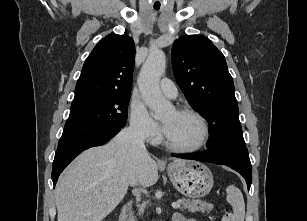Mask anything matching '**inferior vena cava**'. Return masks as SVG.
I'll list each match as a JSON object with an SVG mask.
<instances>
[{
  "mask_svg": "<svg viewBox=\"0 0 307 221\" xmlns=\"http://www.w3.org/2000/svg\"><path fill=\"white\" fill-rule=\"evenodd\" d=\"M144 139L145 136L143 131L137 126L125 128L115 137L117 142L129 145L134 150H138L140 152H146ZM129 221H135L132 211L129 214Z\"/></svg>",
  "mask_w": 307,
  "mask_h": 221,
  "instance_id": "602c4592",
  "label": "inferior vena cava"
}]
</instances>
